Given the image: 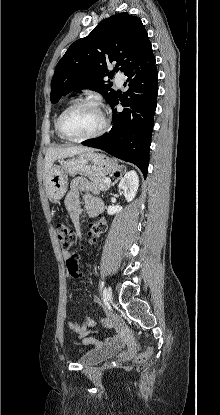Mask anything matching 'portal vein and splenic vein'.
I'll use <instances>...</instances> for the list:
<instances>
[{"label": "portal vein and splenic vein", "mask_w": 220, "mask_h": 415, "mask_svg": "<svg viewBox=\"0 0 220 415\" xmlns=\"http://www.w3.org/2000/svg\"><path fill=\"white\" fill-rule=\"evenodd\" d=\"M105 182L110 183L111 182V179L110 178H106L105 179Z\"/></svg>", "instance_id": "obj_1"}]
</instances>
